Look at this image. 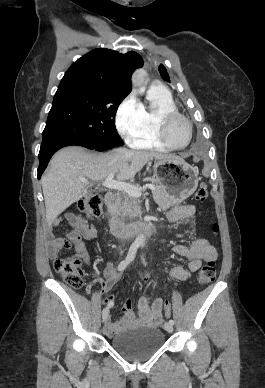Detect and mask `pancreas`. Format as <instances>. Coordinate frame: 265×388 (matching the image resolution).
Returning a JSON list of instances; mask_svg holds the SVG:
<instances>
[{"mask_svg":"<svg viewBox=\"0 0 265 388\" xmlns=\"http://www.w3.org/2000/svg\"><path fill=\"white\" fill-rule=\"evenodd\" d=\"M152 186H155V190H153L154 202L158 204L161 210H168L170 206H173L174 198L173 196H170V194H167L163 186H158L156 180H153ZM114 210V216H119L121 220H126V218H139V216H142L139 200H137V198H132V196H129L126 192H124L122 198L116 200Z\"/></svg>","mask_w":265,"mask_h":388,"instance_id":"pancreas-1","label":"pancreas"}]
</instances>
